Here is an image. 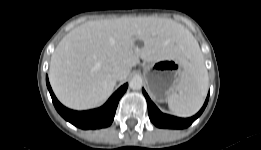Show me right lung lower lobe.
<instances>
[{"mask_svg": "<svg viewBox=\"0 0 261 150\" xmlns=\"http://www.w3.org/2000/svg\"><path fill=\"white\" fill-rule=\"evenodd\" d=\"M46 83L48 90L50 92L53 104L59 114L68 122L79 127L81 129H97L108 127L115 115V111L121 96L125 93L128 84L121 86L110 98L109 100L100 108L89 110V111H73L64 107L55 97L51 86L46 77Z\"/></svg>", "mask_w": 261, "mask_h": 150, "instance_id": "98d812e1", "label": "right lung lower lobe"}]
</instances>
